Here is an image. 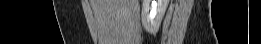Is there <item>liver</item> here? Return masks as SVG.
Segmentation results:
<instances>
[{"mask_svg": "<svg viewBox=\"0 0 261 44\" xmlns=\"http://www.w3.org/2000/svg\"><path fill=\"white\" fill-rule=\"evenodd\" d=\"M99 44L138 42V0H90Z\"/></svg>", "mask_w": 261, "mask_h": 44, "instance_id": "6515ba94", "label": "liver"}]
</instances>
